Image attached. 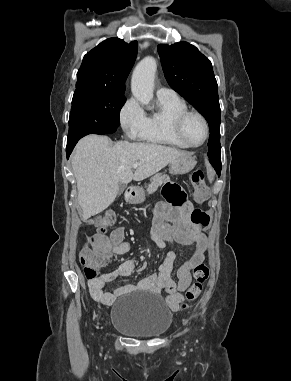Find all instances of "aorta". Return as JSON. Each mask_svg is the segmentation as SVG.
Instances as JSON below:
<instances>
[{"instance_id":"762f6f07","label":"aorta","mask_w":291,"mask_h":381,"mask_svg":"<svg viewBox=\"0 0 291 381\" xmlns=\"http://www.w3.org/2000/svg\"><path fill=\"white\" fill-rule=\"evenodd\" d=\"M156 69V60L148 56L142 59L133 71L131 91L133 96L143 105H148L153 98Z\"/></svg>"}]
</instances>
